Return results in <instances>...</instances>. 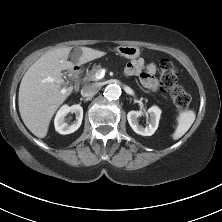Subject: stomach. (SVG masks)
Wrapping results in <instances>:
<instances>
[{"mask_svg": "<svg viewBox=\"0 0 222 222\" xmlns=\"http://www.w3.org/2000/svg\"><path fill=\"white\" fill-rule=\"evenodd\" d=\"M117 52L127 59H135L140 56L139 47L133 45L119 46Z\"/></svg>", "mask_w": 222, "mask_h": 222, "instance_id": "1", "label": "stomach"}]
</instances>
